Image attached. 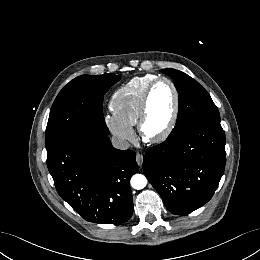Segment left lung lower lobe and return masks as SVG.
<instances>
[{"instance_id":"1","label":"left lung lower lobe","mask_w":260,"mask_h":260,"mask_svg":"<svg viewBox=\"0 0 260 260\" xmlns=\"http://www.w3.org/2000/svg\"><path fill=\"white\" fill-rule=\"evenodd\" d=\"M226 163L219 115L194 119L148 148L143 171L173 214H188L213 196Z\"/></svg>"}]
</instances>
